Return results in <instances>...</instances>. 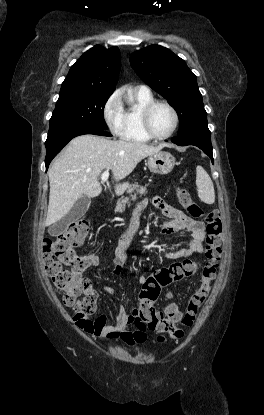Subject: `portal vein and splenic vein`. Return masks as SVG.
Segmentation results:
<instances>
[{
  "label": "portal vein and splenic vein",
  "instance_id": "obj_1",
  "mask_svg": "<svg viewBox=\"0 0 264 415\" xmlns=\"http://www.w3.org/2000/svg\"><path fill=\"white\" fill-rule=\"evenodd\" d=\"M108 177H109V171L106 170L101 175V182L102 183L106 182L108 180Z\"/></svg>",
  "mask_w": 264,
  "mask_h": 415
}]
</instances>
